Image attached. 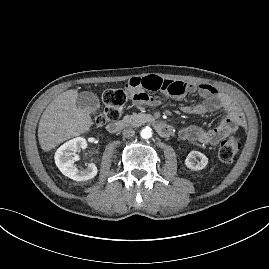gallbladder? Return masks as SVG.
Listing matches in <instances>:
<instances>
[{
    "mask_svg": "<svg viewBox=\"0 0 269 269\" xmlns=\"http://www.w3.org/2000/svg\"><path fill=\"white\" fill-rule=\"evenodd\" d=\"M76 106L86 113L95 114L100 108V101L93 92L84 91L78 95Z\"/></svg>",
    "mask_w": 269,
    "mask_h": 269,
    "instance_id": "gallbladder-1",
    "label": "gallbladder"
}]
</instances>
